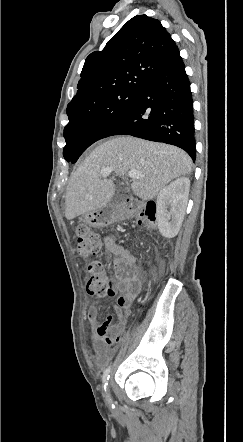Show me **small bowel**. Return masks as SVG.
I'll list each match as a JSON object with an SVG mask.
<instances>
[{
    "mask_svg": "<svg viewBox=\"0 0 243 442\" xmlns=\"http://www.w3.org/2000/svg\"><path fill=\"white\" fill-rule=\"evenodd\" d=\"M104 244L113 256L114 278L110 285L114 295L118 292L119 297L116 300L117 318L108 315L102 325L97 323L98 311L96 306L91 305L87 310V319L92 326V332L95 339L94 363L98 367H104L110 358L108 346L113 342L121 340L125 319L129 314L132 302L141 291L143 278L139 273L134 256L123 247L117 245L110 237L104 238ZM108 332L112 336H108Z\"/></svg>",
    "mask_w": 243,
    "mask_h": 442,
    "instance_id": "obj_1",
    "label": "small bowel"
}]
</instances>
